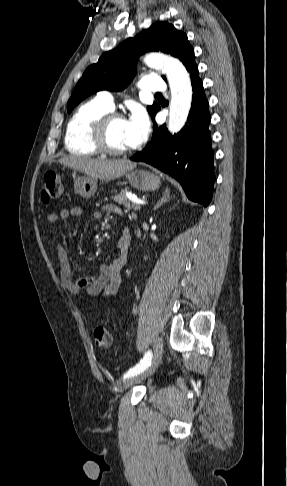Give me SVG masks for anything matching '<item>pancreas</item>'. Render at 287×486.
I'll list each match as a JSON object with an SVG mask.
<instances>
[{"instance_id":"cf45deb5","label":"pancreas","mask_w":287,"mask_h":486,"mask_svg":"<svg viewBox=\"0 0 287 486\" xmlns=\"http://www.w3.org/2000/svg\"><path fill=\"white\" fill-rule=\"evenodd\" d=\"M113 200L115 202L119 203L120 205H124L127 210H130L131 209L130 201H129V199L126 196V190L121 191L119 194L115 195L113 197ZM132 208L134 210H139L140 209V207H134V206H132Z\"/></svg>"}]
</instances>
